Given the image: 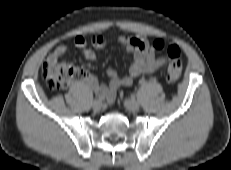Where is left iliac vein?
<instances>
[{
	"label": "left iliac vein",
	"instance_id": "obj_1",
	"mask_svg": "<svg viewBox=\"0 0 231 170\" xmlns=\"http://www.w3.org/2000/svg\"><path fill=\"white\" fill-rule=\"evenodd\" d=\"M124 106L131 112H138L140 109V104L137 101L131 99H125Z\"/></svg>",
	"mask_w": 231,
	"mask_h": 170
}]
</instances>
